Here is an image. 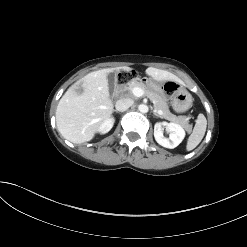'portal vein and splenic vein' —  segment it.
Masks as SVG:
<instances>
[{"label":"portal vein and splenic vein","instance_id":"portal-vein-and-splenic-vein-1","mask_svg":"<svg viewBox=\"0 0 247 247\" xmlns=\"http://www.w3.org/2000/svg\"><path fill=\"white\" fill-rule=\"evenodd\" d=\"M132 93L136 97H141V96L144 95V90L141 89V88H139V87H135V88L132 89ZM158 113L161 115L162 114V111L159 110Z\"/></svg>","mask_w":247,"mask_h":247}]
</instances>
